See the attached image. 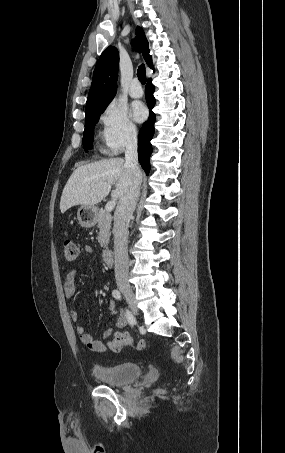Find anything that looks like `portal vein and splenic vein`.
Wrapping results in <instances>:
<instances>
[{
	"label": "portal vein and splenic vein",
	"instance_id": "1",
	"mask_svg": "<svg viewBox=\"0 0 285 453\" xmlns=\"http://www.w3.org/2000/svg\"><path fill=\"white\" fill-rule=\"evenodd\" d=\"M115 205H116L115 201L111 200V201L107 202V204L105 206V210L107 212H111L114 209Z\"/></svg>",
	"mask_w": 285,
	"mask_h": 453
}]
</instances>
